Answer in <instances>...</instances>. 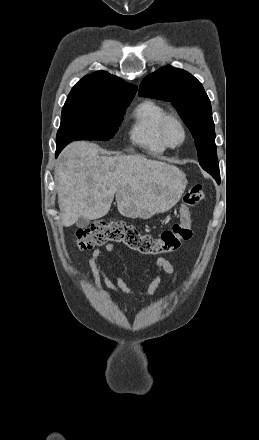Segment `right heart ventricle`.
<instances>
[{"instance_id":"e07e8e85","label":"right heart ventricle","mask_w":259,"mask_h":440,"mask_svg":"<svg viewBox=\"0 0 259 440\" xmlns=\"http://www.w3.org/2000/svg\"><path fill=\"white\" fill-rule=\"evenodd\" d=\"M166 114L167 109L157 101L145 100L138 104L129 128L131 142L150 154L165 152L166 147L159 137V125Z\"/></svg>"}]
</instances>
